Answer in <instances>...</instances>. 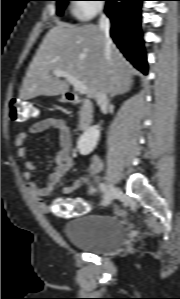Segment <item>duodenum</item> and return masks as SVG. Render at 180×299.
I'll list each match as a JSON object with an SVG mask.
<instances>
[{"label": "duodenum", "mask_w": 180, "mask_h": 299, "mask_svg": "<svg viewBox=\"0 0 180 299\" xmlns=\"http://www.w3.org/2000/svg\"><path fill=\"white\" fill-rule=\"evenodd\" d=\"M66 96L70 102L80 105L81 112L79 118V127L82 130H87L91 126L93 119V107L91 102L88 99L77 96L72 92H68Z\"/></svg>", "instance_id": "1"}]
</instances>
